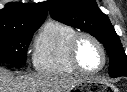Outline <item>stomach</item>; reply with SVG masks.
Listing matches in <instances>:
<instances>
[{
    "mask_svg": "<svg viewBox=\"0 0 127 92\" xmlns=\"http://www.w3.org/2000/svg\"><path fill=\"white\" fill-rule=\"evenodd\" d=\"M91 83H92L91 81H83L78 85L77 90H81V91L87 90L92 86Z\"/></svg>",
    "mask_w": 127,
    "mask_h": 92,
    "instance_id": "0dacf381",
    "label": "stomach"
}]
</instances>
